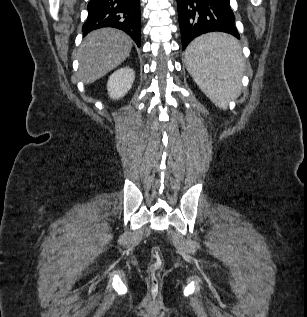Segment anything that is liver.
<instances>
[{"label":"liver","instance_id":"obj_1","mask_svg":"<svg viewBox=\"0 0 307 317\" xmlns=\"http://www.w3.org/2000/svg\"><path fill=\"white\" fill-rule=\"evenodd\" d=\"M132 39L113 28L97 29L83 40L79 51V76L85 84L102 78L129 56Z\"/></svg>","mask_w":307,"mask_h":317}]
</instances>
